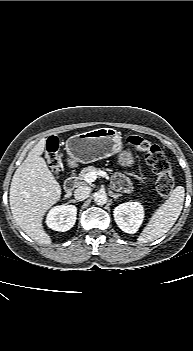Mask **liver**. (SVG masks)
I'll return each mask as SVG.
<instances>
[{
    "mask_svg": "<svg viewBox=\"0 0 193 351\" xmlns=\"http://www.w3.org/2000/svg\"><path fill=\"white\" fill-rule=\"evenodd\" d=\"M46 138L41 139L16 169L10 186L9 202L14 220L33 240L50 244L42 224L43 216L61 195V186L42 158ZM71 195L70 192L66 197Z\"/></svg>",
    "mask_w": 193,
    "mask_h": 351,
    "instance_id": "obj_1",
    "label": "liver"
}]
</instances>
